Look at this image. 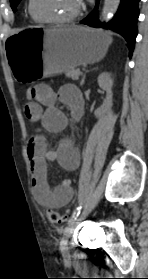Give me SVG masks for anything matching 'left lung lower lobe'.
I'll use <instances>...</instances> for the list:
<instances>
[{
  "label": "left lung lower lobe",
  "instance_id": "obj_1",
  "mask_svg": "<svg viewBox=\"0 0 148 279\" xmlns=\"http://www.w3.org/2000/svg\"><path fill=\"white\" fill-rule=\"evenodd\" d=\"M138 3L139 0H121L118 11L112 21L102 24L98 20L97 10L99 0H97L94 10L81 23L92 27L109 28L121 34L128 42L131 56L137 36Z\"/></svg>",
  "mask_w": 148,
  "mask_h": 279
}]
</instances>
